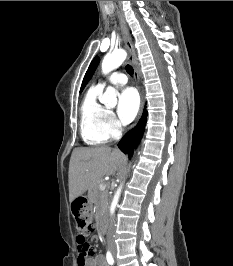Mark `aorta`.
I'll list each match as a JSON object with an SVG mask.
<instances>
[{
  "mask_svg": "<svg viewBox=\"0 0 233 266\" xmlns=\"http://www.w3.org/2000/svg\"><path fill=\"white\" fill-rule=\"evenodd\" d=\"M126 56H127V53L122 49L116 50L113 53L106 55L102 61L103 74L106 75L110 73L111 71L117 69L124 62V60L126 59ZM100 102L107 106L114 107L117 103V91L113 87L108 86L105 93L100 97ZM121 188L122 186H120L117 189L113 197L111 207H110L111 214L114 213V210L117 206L120 193H121Z\"/></svg>",
  "mask_w": 233,
  "mask_h": 266,
  "instance_id": "762f6f07",
  "label": "aorta"
}]
</instances>
